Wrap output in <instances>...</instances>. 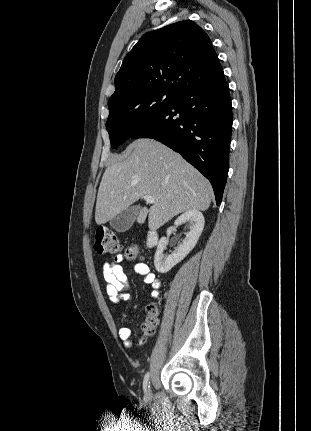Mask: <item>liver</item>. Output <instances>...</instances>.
<instances>
[{
  "label": "liver",
  "instance_id": "6515ba94",
  "mask_svg": "<svg viewBox=\"0 0 311 431\" xmlns=\"http://www.w3.org/2000/svg\"><path fill=\"white\" fill-rule=\"evenodd\" d=\"M143 196H152L155 204L142 208L137 221L144 223L148 216V227L155 231L187 210H208L212 188L180 154L155 140H135L102 176L96 223H107Z\"/></svg>",
  "mask_w": 311,
  "mask_h": 431
}]
</instances>
